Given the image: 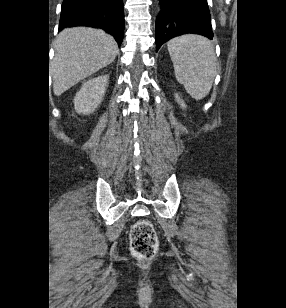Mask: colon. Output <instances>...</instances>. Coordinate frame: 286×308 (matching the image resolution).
Listing matches in <instances>:
<instances>
[{"mask_svg": "<svg viewBox=\"0 0 286 308\" xmlns=\"http://www.w3.org/2000/svg\"><path fill=\"white\" fill-rule=\"evenodd\" d=\"M133 255L140 259H151L155 256L159 240L151 222L140 220L135 223L129 235Z\"/></svg>", "mask_w": 286, "mask_h": 308, "instance_id": "1", "label": "colon"}]
</instances>
